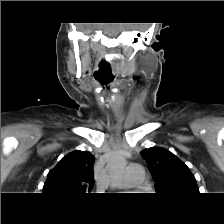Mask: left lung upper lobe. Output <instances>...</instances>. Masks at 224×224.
<instances>
[{
	"mask_svg": "<svg viewBox=\"0 0 224 224\" xmlns=\"http://www.w3.org/2000/svg\"><path fill=\"white\" fill-rule=\"evenodd\" d=\"M141 155L150 167L158 195L181 197L199 193L194 175L169 150L151 147L143 150Z\"/></svg>",
	"mask_w": 224,
	"mask_h": 224,
	"instance_id": "1",
	"label": "left lung upper lobe"
}]
</instances>
